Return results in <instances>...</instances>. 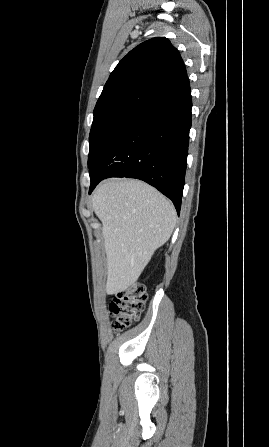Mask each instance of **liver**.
Here are the masks:
<instances>
[{"label":"liver","mask_w":269,"mask_h":447,"mask_svg":"<svg viewBox=\"0 0 269 447\" xmlns=\"http://www.w3.org/2000/svg\"><path fill=\"white\" fill-rule=\"evenodd\" d=\"M102 222L107 257V293L137 281L155 249L168 241L176 210L160 192L139 180H108L92 196Z\"/></svg>","instance_id":"liver-1"}]
</instances>
